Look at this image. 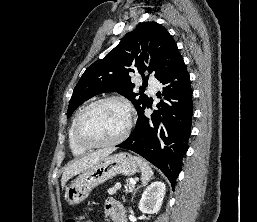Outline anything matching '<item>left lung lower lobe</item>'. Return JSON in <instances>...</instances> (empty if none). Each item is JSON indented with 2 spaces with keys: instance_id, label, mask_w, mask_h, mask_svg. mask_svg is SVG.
<instances>
[{
  "instance_id": "0a47b994",
  "label": "left lung lower lobe",
  "mask_w": 257,
  "mask_h": 222,
  "mask_svg": "<svg viewBox=\"0 0 257 222\" xmlns=\"http://www.w3.org/2000/svg\"><path fill=\"white\" fill-rule=\"evenodd\" d=\"M168 84L151 118L138 112L136 127L130 137L117 147L134 151L158 167L172 187L181 171L182 157L187 152L191 133L193 101L190 77L183 58L159 80ZM158 92V96H160Z\"/></svg>"
}]
</instances>
